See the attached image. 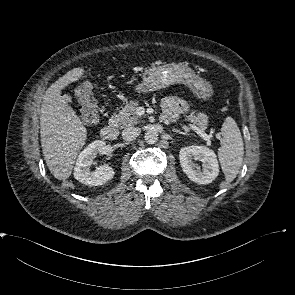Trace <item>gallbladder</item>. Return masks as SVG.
<instances>
[{"label":"gallbladder","instance_id":"bac80fb5","mask_svg":"<svg viewBox=\"0 0 295 295\" xmlns=\"http://www.w3.org/2000/svg\"><path fill=\"white\" fill-rule=\"evenodd\" d=\"M64 100H65L67 103H72V97H71L69 94H65V95H64Z\"/></svg>","mask_w":295,"mask_h":295}]
</instances>
